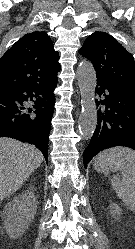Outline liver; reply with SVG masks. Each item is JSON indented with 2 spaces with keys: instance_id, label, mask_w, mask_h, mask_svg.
Returning a JSON list of instances; mask_svg holds the SVG:
<instances>
[{
  "instance_id": "obj_1",
  "label": "liver",
  "mask_w": 135,
  "mask_h": 249,
  "mask_svg": "<svg viewBox=\"0 0 135 249\" xmlns=\"http://www.w3.org/2000/svg\"><path fill=\"white\" fill-rule=\"evenodd\" d=\"M42 161L35 146L0 138V201L16 192Z\"/></svg>"
}]
</instances>
